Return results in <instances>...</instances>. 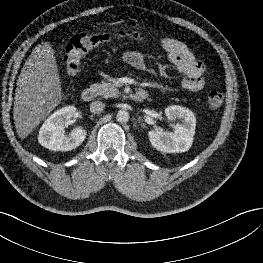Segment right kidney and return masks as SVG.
I'll return each mask as SVG.
<instances>
[{
    "instance_id": "right-kidney-1",
    "label": "right kidney",
    "mask_w": 263,
    "mask_h": 263,
    "mask_svg": "<svg viewBox=\"0 0 263 263\" xmlns=\"http://www.w3.org/2000/svg\"><path fill=\"white\" fill-rule=\"evenodd\" d=\"M76 108L65 106L50 115L40 128L39 143L52 151H70L82 144L86 130L74 129L69 135L64 134V124L74 117Z\"/></svg>"
}]
</instances>
